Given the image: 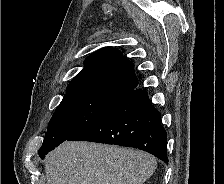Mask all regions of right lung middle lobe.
Instances as JSON below:
<instances>
[{
	"label": "right lung middle lobe",
	"mask_w": 224,
	"mask_h": 184,
	"mask_svg": "<svg viewBox=\"0 0 224 184\" xmlns=\"http://www.w3.org/2000/svg\"><path fill=\"white\" fill-rule=\"evenodd\" d=\"M132 89L106 82H92L67 89L62 102L53 114L39 153L58 146L84 129Z\"/></svg>",
	"instance_id": "right-lung-middle-lobe-1"
}]
</instances>
